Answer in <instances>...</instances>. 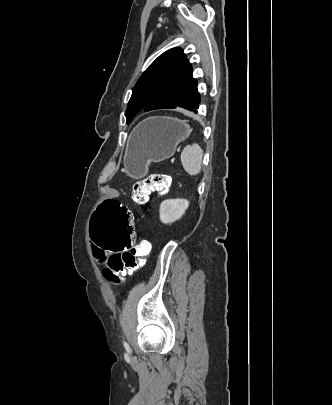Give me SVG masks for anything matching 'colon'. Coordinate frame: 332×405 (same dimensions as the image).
Listing matches in <instances>:
<instances>
[{"label": "colon", "instance_id": "5ec220e1", "mask_svg": "<svg viewBox=\"0 0 332 405\" xmlns=\"http://www.w3.org/2000/svg\"><path fill=\"white\" fill-rule=\"evenodd\" d=\"M172 186L171 177L154 173L134 184L132 199L145 203L151 192L167 193ZM91 237L93 247L91 257H113L97 259V268H107L104 276L114 284H120L124 277L143 265L150 251V243L142 240L136 243L138 227H133V214L125 202L116 197H107L105 202H97V211H92Z\"/></svg>", "mask_w": 332, "mask_h": 405}]
</instances>
